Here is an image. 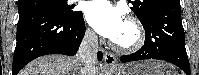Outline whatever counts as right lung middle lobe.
<instances>
[{"instance_id":"1","label":"right lung middle lobe","mask_w":199,"mask_h":75,"mask_svg":"<svg viewBox=\"0 0 199 75\" xmlns=\"http://www.w3.org/2000/svg\"><path fill=\"white\" fill-rule=\"evenodd\" d=\"M40 10L50 12L60 18L70 20L79 11H73L67 0H18V12Z\"/></svg>"}]
</instances>
